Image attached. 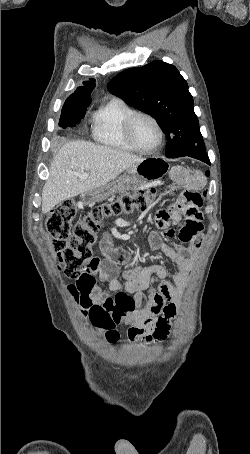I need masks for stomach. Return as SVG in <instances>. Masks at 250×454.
<instances>
[{
  "label": "stomach",
  "mask_w": 250,
  "mask_h": 454,
  "mask_svg": "<svg viewBox=\"0 0 250 454\" xmlns=\"http://www.w3.org/2000/svg\"><path fill=\"white\" fill-rule=\"evenodd\" d=\"M168 164L162 159L149 158L127 169V175L100 188L82 194L85 203L101 202L116 193L124 184L147 186L161 179Z\"/></svg>",
  "instance_id": "stomach-1"
}]
</instances>
